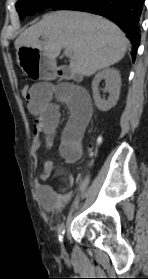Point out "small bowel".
Returning a JSON list of instances; mask_svg holds the SVG:
<instances>
[{
  "label": "small bowel",
  "mask_w": 148,
  "mask_h": 279,
  "mask_svg": "<svg viewBox=\"0 0 148 279\" xmlns=\"http://www.w3.org/2000/svg\"><path fill=\"white\" fill-rule=\"evenodd\" d=\"M26 103L35 121L31 145L33 153L38 152L42 141L47 147L53 145L60 120L59 104L69 107L71 116L61 136L59 153L67 163L77 162L83 154L84 135L93 113L88 93L72 84L40 82L31 87ZM53 173L61 176L63 192L46 183ZM79 180V176L64 175L52 162L46 161L41 175L34 183L40 205L47 210L62 208L71 199V188Z\"/></svg>",
  "instance_id": "c3829d8e"
}]
</instances>
